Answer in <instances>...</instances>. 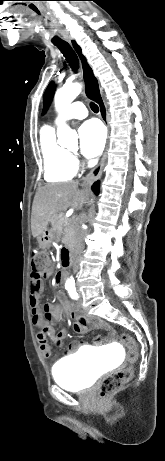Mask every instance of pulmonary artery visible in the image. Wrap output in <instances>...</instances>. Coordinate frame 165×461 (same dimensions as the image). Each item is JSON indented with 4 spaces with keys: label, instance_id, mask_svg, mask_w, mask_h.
I'll return each instance as SVG.
<instances>
[{
    "label": "pulmonary artery",
    "instance_id": "1",
    "mask_svg": "<svg viewBox=\"0 0 165 461\" xmlns=\"http://www.w3.org/2000/svg\"><path fill=\"white\" fill-rule=\"evenodd\" d=\"M87 116V109L82 102H73L70 104L57 118L56 123L59 124L69 119H83Z\"/></svg>",
    "mask_w": 165,
    "mask_h": 461
}]
</instances>
